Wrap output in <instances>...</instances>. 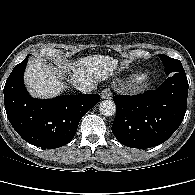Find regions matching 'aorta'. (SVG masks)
<instances>
[{
  "mask_svg": "<svg viewBox=\"0 0 195 195\" xmlns=\"http://www.w3.org/2000/svg\"><path fill=\"white\" fill-rule=\"evenodd\" d=\"M99 111L104 116H113L116 113V105L112 100H104L99 105Z\"/></svg>",
  "mask_w": 195,
  "mask_h": 195,
  "instance_id": "1",
  "label": "aorta"
}]
</instances>
